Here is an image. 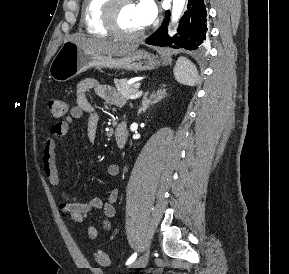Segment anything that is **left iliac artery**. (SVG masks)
<instances>
[{
    "label": "left iliac artery",
    "instance_id": "left-iliac-artery-1",
    "mask_svg": "<svg viewBox=\"0 0 289 274\" xmlns=\"http://www.w3.org/2000/svg\"><path fill=\"white\" fill-rule=\"evenodd\" d=\"M136 257H137V253H134L133 255H131V257L127 260V262H126V265H129V264H131L132 262H134L135 261V259H136Z\"/></svg>",
    "mask_w": 289,
    "mask_h": 274
}]
</instances>
